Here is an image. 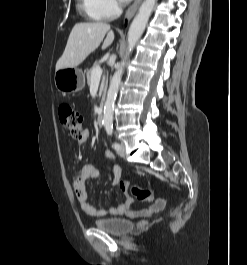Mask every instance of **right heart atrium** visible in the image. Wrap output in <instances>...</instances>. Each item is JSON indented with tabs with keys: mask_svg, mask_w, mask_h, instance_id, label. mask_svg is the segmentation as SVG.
Instances as JSON below:
<instances>
[{
	"mask_svg": "<svg viewBox=\"0 0 247 265\" xmlns=\"http://www.w3.org/2000/svg\"><path fill=\"white\" fill-rule=\"evenodd\" d=\"M90 14L100 19H111L119 14L120 5L117 0H86Z\"/></svg>",
	"mask_w": 247,
	"mask_h": 265,
	"instance_id": "d8ad5b80",
	"label": "right heart atrium"
}]
</instances>
